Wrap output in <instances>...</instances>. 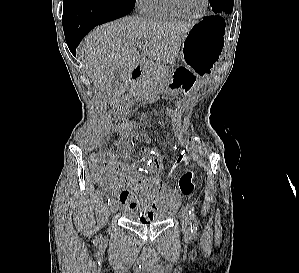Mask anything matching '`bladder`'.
Instances as JSON below:
<instances>
[{
	"label": "bladder",
	"instance_id": "bladder-1",
	"mask_svg": "<svg viewBox=\"0 0 299 273\" xmlns=\"http://www.w3.org/2000/svg\"><path fill=\"white\" fill-rule=\"evenodd\" d=\"M171 211L172 210H156L153 213L152 219L148 221L143 220L140 214L135 211H126L124 217L132 223H140L143 225L162 224L169 219Z\"/></svg>",
	"mask_w": 299,
	"mask_h": 273
}]
</instances>
